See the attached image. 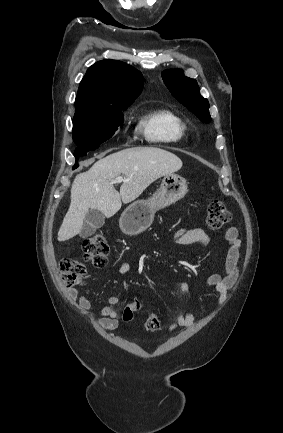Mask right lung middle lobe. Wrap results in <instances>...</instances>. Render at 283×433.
I'll return each mask as SVG.
<instances>
[{"instance_id": "obj_1", "label": "right lung middle lobe", "mask_w": 283, "mask_h": 433, "mask_svg": "<svg viewBox=\"0 0 283 433\" xmlns=\"http://www.w3.org/2000/svg\"><path fill=\"white\" fill-rule=\"evenodd\" d=\"M128 106L76 110L73 118V140L76 159L95 150L109 139L123 122L122 110Z\"/></svg>"}]
</instances>
